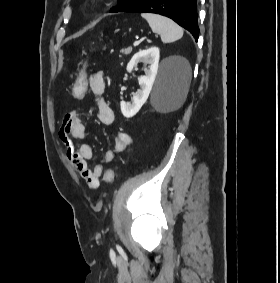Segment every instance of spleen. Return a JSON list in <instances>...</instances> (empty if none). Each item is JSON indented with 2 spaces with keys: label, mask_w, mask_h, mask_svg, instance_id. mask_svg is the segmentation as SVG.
I'll return each mask as SVG.
<instances>
[{
  "label": "spleen",
  "mask_w": 280,
  "mask_h": 283,
  "mask_svg": "<svg viewBox=\"0 0 280 283\" xmlns=\"http://www.w3.org/2000/svg\"><path fill=\"white\" fill-rule=\"evenodd\" d=\"M141 16L146 19L152 31L160 35L163 43L174 42L182 38L183 29L171 19L152 13H142Z\"/></svg>",
  "instance_id": "3e777b00"
}]
</instances>
